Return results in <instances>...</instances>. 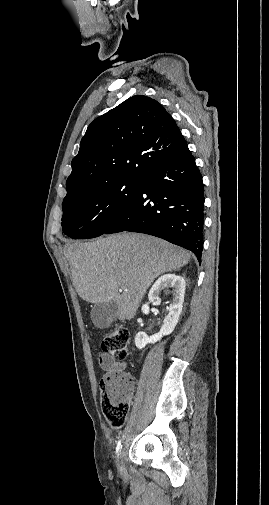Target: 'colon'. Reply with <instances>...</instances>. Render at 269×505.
<instances>
[{"instance_id":"obj_1","label":"colon","mask_w":269,"mask_h":505,"mask_svg":"<svg viewBox=\"0 0 269 505\" xmlns=\"http://www.w3.org/2000/svg\"><path fill=\"white\" fill-rule=\"evenodd\" d=\"M130 332L119 325L110 330L102 341L103 351L114 359H124L128 353ZM131 379L125 373L106 375L100 381V402L106 421L120 428L130 410Z\"/></svg>"}]
</instances>
